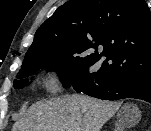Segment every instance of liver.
<instances>
[{"label":"liver","mask_w":151,"mask_h":131,"mask_svg":"<svg viewBox=\"0 0 151 131\" xmlns=\"http://www.w3.org/2000/svg\"><path fill=\"white\" fill-rule=\"evenodd\" d=\"M118 108L85 95L62 96L32 104L12 131H100Z\"/></svg>","instance_id":"obj_1"}]
</instances>
